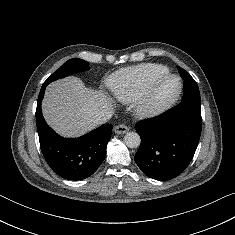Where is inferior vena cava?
Listing matches in <instances>:
<instances>
[{
	"mask_svg": "<svg viewBox=\"0 0 235 235\" xmlns=\"http://www.w3.org/2000/svg\"><path fill=\"white\" fill-rule=\"evenodd\" d=\"M113 115V112L111 110H103L99 116L96 118L97 124H103L106 121L110 120Z\"/></svg>",
	"mask_w": 235,
	"mask_h": 235,
	"instance_id": "602c4592",
	"label": "inferior vena cava"
}]
</instances>
